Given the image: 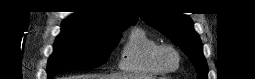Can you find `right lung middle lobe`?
Instances as JSON below:
<instances>
[{
	"label": "right lung middle lobe",
	"mask_w": 255,
	"mask_h": 79,
	"mask_svg": "<svg viewBox=\"0 0 255 79\" xmlns=\"http://www.w3.org/2000/svg\"><path fill=\"white\" fill-rule=\"evenodd\" d=\"M125 28L113 34L62 29L48 61V78L69 69L101 66L107 61Z\"/></svg>",
	"instance_id": "dd1d6c3e"
}]
</instances>
